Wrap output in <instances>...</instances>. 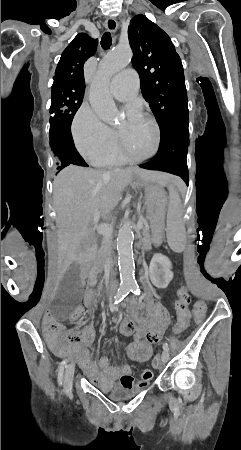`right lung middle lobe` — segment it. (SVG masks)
I'll use <instances>...</instances> for the list:
<instances>
[{
  "label": "right lung middle lobe",
  "instance_id": "obj_1",
  "mask_svg": "<svg viewBox=\"0 0 241 450\" xmlns=\"http://www.w3.org/2000/svg\"><path fill=\"white\" fill-rule=\"evenodd\" d=\"M84 90V88L64 83L52 85L49 139L53 166L57 171L70 165L65 156V144L67 141H73L70 131L71 123L82 104Z\"/></svg>",
  "mask_w": 241,
  "mask_h": 450
}]
</instances>
